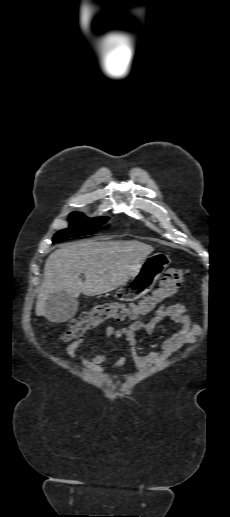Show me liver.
Returning a JSON list of instances; mask_svg holds the SVG:
<instances>
[{
	"label": "liver",
	"mask_w": 230,
	"mask_h": 517,
	"mask_svg": "<svg viewBox=\"0 0 230 517\" xmlns=\"http://www.w3.org/2000/svg\"><path fill=\"white\" fill-rule=\"evenodd\" d=\"M154 248L138 241H84L63 245L51 253L36 302V315L45 316L48 298L66 292L95 296L124 285ZM84 274L83 282L79 276Z\"/></svg>",
	"instance_id": "obj_1"
}]
</instances>
